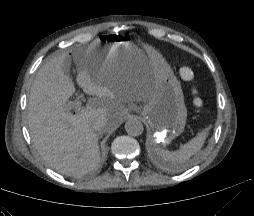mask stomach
<instances>
[{
	"label": "stomach",
	"instance_id": "obj_1",
	"mask_svg": "<svg viewBox=\"0 0 254 216\" xmlns=\"http://www.w3.org/2000/svg\"><path fill=\"white\" fill-rule=\"evenodd\" d=\"M89 72L93 79L100 73L131 70L147 66L154 78L153 92L141 115L151 127V141L166 147L185 128L187 108L180 82L169 64L154 49L142 50L122 36L103 35L95 41Z\"/></svg>",
	"mask_w": 254,
	"mask_h": 216
}]
</instances>
